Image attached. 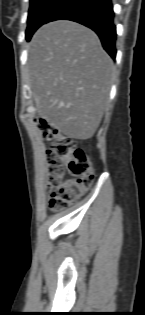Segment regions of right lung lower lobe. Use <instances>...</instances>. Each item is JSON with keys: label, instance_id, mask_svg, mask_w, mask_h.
Instances as JSON below:
<instances>
[{"label": "right lung lower lobe", "instance_id": "right-lung-lower-lobe-1", "mask_svg": "<svg viewBox=\"0 0 145 315\" xmlns=\"http://www.w3.org/2000/svg\"><path fill=\"white\" fill-rule=\"evenodd\" d=\"M54 20H71L91 28L99 36L103 48L115 59L116 27L112 0H66L45 23Z\"/></svg>", "mask_w": 145, "mask_h": 315}]
</instances>
